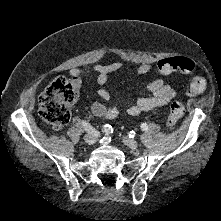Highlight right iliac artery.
Listing matches in <instances>:
<instances>
[{
	"instance_id": "1",
	"label": "right iliac artery",
	"mask_w": 221,
	"mask_h": 221,
	"mask_svg": "<svg viewBox=\"0 0 221 221\" xmlns=\"http://www.w3.org/2000/svg\"><path fill=\"white\" fill-rule=\"evenodd\" d=\"M82 125H83L85 131H87L88 133L97 134L95 131V128H93L88 122L82 121ZM111 133H112V126L110 124H103L101 126V133H99V134H102V135H100V136H108ZM99 134H97V135H99Z\"/></svg>"
}]
</instances>
